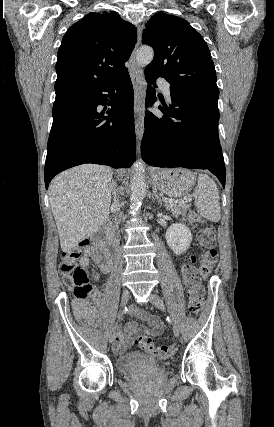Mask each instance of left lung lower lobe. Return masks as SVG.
Masks as SVG:
<instances>
[{
  "label": "left lung lower lobe",
  "mask_w": 274,
  "mask_h": 427,
  "mask_svg": "<svg viewBox=\"0 0 274 427\" xmlns=\"http://www.w3.org/2000/svg\"><path fill=\"white\" fill-rule=\"evenodd\" d=\"M158 75L145 72L156 87ZM171 105L159 106L162 116L146 112L141 144L143 160L156 167L208 169L225 186V165L218 136V99L182 92L170 87ZM157 101L148 87L145 104Z\"/></svg>",
  "instance_id": "obj_1"
}]
</instances>
